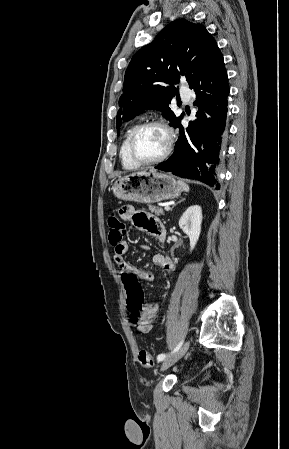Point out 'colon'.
<instances>
[{
	"label": "colon",
	"instance_id": "colon-1",
	"mask_svg": "<svg viewBox=\"0 0 289 449\" xmlns=\"http://www.w3.org/2000/svg\"><path fill=\"white\" fill-rule=\"evenodd\" d=\"M108 240L114 247L119 246L126 234V226L119 217L112 213L108 218ZM120 278L123 280L128 294V309L130 311L131 320L138 325L141 320L143 291L132 271H121ZM139 361L143 366L150 367L153 365L151 354L146 349L139 351Z\"/></svg>",
	"mask_w": 289,
	"mask_h": 449
}]
</instances>
